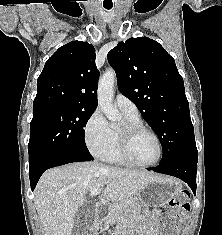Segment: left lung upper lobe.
<instances>
[{
	"mask_svg": "<svg viewBox=\"0 0 222 235\" xmlns=\"http://www.w3.org/2000/svg\"><path fill=\"white\" fill-rule=\"evenodd\" d=\"M107 58L120 92L158 135L163 149L160 163L197 157L184 82L173 57L158 42L138 37L120 42Z\"/></svg>",
	"mask_w": 222,
	"mask_h": 235,
	"instance_id": "1",
	"label": "left lung upper lobe"
}]
</instances>
